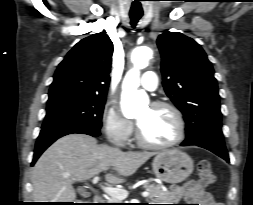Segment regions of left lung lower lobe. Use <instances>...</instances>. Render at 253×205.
Masks as SVG:
<instances>
[{
  "mask_svg": "<svg viewBox=\"0 0 253 205\" xmlns=\"http://www.w3.org/2000/svg\"><path fill=\"white\" fill-rule=\"evenodd\" d=\"M188 145H196L208 149L211 152L223 158L224 160H226L227 162H229V157L223 138L215 136H207L191 144H187L184 142L181 144V146H188Z\"/></svg>",
  "mask_w": 253,
  "mask_h": 205,
  "instance_id": "obj_1",
  "label": "left lung lower lobe"
}]
</instances>
